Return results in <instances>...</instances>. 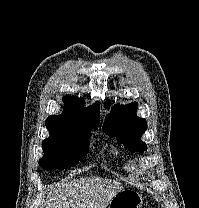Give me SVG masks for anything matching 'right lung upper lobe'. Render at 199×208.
<instances>
[{
	"instance_id": "right-lung-upper-lobe-1",
	"label": "right lung upper lobe",
	"mask_w": 199,
	"mask_h": 208,
	"mask_svg": "<svg viewBox=\"0 0 199 208\" xmlns=\"http://www.w3.org/2000/svg\"><path fill=\"white\" fill-rule=\"evenodd\" d=\"M65 107L61 115H51L46 120V127L53 131L91 130L99 125L100 107L95 103L83 108V99L63 97Z\"/></svg>"
}]
</instances>
